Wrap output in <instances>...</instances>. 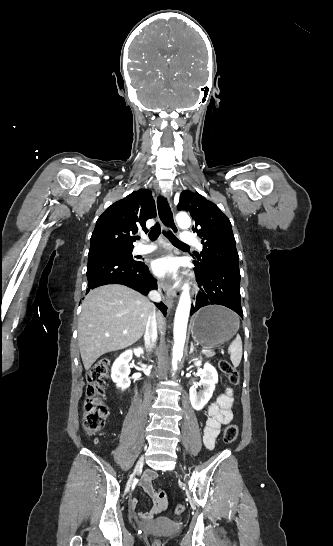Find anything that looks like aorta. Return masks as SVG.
I'll list each match as a JSON object with an SVG mask.
<instances>
[{
	"label": "aorta",
	"instance_id": "obj_1",
	"mask_svg": "<svg viewBox=\"0 0 333 546\" xmlns=\"http://www.w3.org/2000/svg\"><path fill=\"white\" fill-rule=\"evenodd\" d=\"M176 221L179 227L183 229L189 228L191 225L190 217L183 212L177 214ZM190 306L191 299L189 294V285L188 283H185L183 285V292L179 300L174 320V346L172 351V370L174 372L177 370L178 362L183 357Z\"/></svg>",
	"mask_w": 333,
	"mask_h": 546
}]
</instances>
